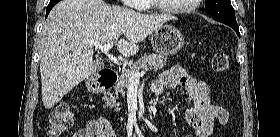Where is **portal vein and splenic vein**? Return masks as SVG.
I'll list each match as a JSON object with an SVG mask.
<instances>
[{"label": "portal vein and splenic vein", "instance_id": "18ae733b", "mask_svg": "<svg viewBox=\"0 0 280 137\" xmlns=\"http://www.w3.org/2000/svg\"><path fill=\"white\" fill-rule=\"evenodd\" d=\"M114 42H107L105 44H100V43H93V45L100 49L102 51V53H104L108 59L113 62L114 64L120 65V61L113 56L112 54L109 53L110 49L113 47ZM146 73V71H142V72H131L129 75V79L131 83H138L140 77H142L144 74Z\"/></svg>", "mask_w": 280, "mask_h": 137}]
</instances>
